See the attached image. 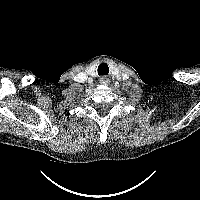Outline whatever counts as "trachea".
<instances>
[{
  "label": "trachea",
  "instance_id": "trachea-1",
  "mask_svg": "<svg viewBox=\"0 0 200 200\" xmlns=\"http://www.w3.org/2000/svg\"><path fill=\"white\" fill-rule=\"evenodd\" d=\"M98 75H107L109 73V68L107 64L102 63L98 66Z\"/></svg>",
  "mask_w": 200,
  "mask_h": 200
}]
</instances>
